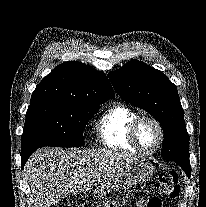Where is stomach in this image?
Masks as SVG:
<instances>
[{"instance_id": "stomach-1", "label": "stomach", "mask_w": 206, "mask_h": 207, "mask_svg": "<svg viewBox=\"0 0 206 207\" xmlns=\"http://www.w3.org/2000/svg\"><path fill=\"white\" fill-rule=\"evenodd\" d=\"M154 167L146 158H138L127 167L117 171L98 186L97 194L106 196L127 186L146 183L153 175Z\"/></svg>"}]
</instances>
